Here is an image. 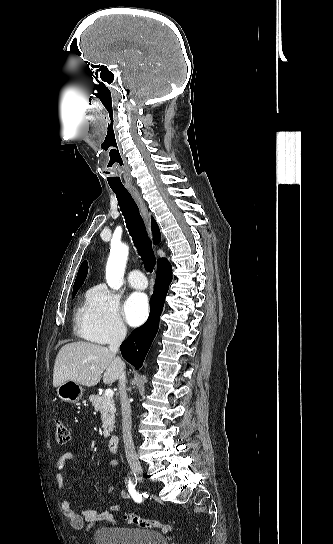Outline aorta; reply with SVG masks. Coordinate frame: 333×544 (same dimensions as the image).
Returning <instances> with one entry per match:
<instances>
[{"label": "aorta", "instance_id": "1", "mask_svg": "<svg viewBox=\"0 0 333 544\" xmlns=\"http://www.w3.org/2000/svg\"><path fill=\"white\" fill-rule=\"evenodd\" d=\"M128 250V246L125 244L111 248L106 267V282L113 289H118L120 286L128 258Z\"/></svg>", "mask_w": 333, "mask_h": 544}]
</instances>
